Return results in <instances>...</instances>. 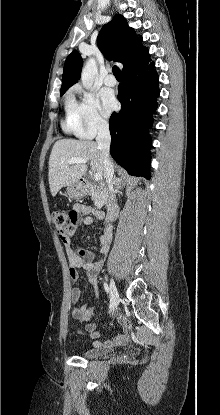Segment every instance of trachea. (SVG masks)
Wrapping results in <instances>:
<instances>
[{"instance_id": "1", "label": "trachea", "mask_w": 220, "mask_h": 415, "mask_svg": "<svg viewBox=\"0 0 220 415\" xmlns=\"http://www.w3.org/2000/svg\"><path fill=\"white\" fill-rule=\"evenodd\" d=\"M112 71L116 79H121V70L117 66H113Z\"/></svg>"}]
</instances>
